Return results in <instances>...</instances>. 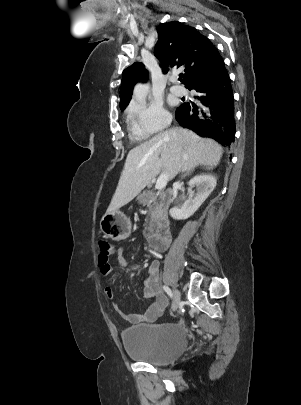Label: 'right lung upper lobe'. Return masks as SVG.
<instances>
[{"instance_id":"right-lung-upper-lobe-1","label":"right lung upper lobe","mask_w":301,"mask_h":405,"mask_svg":"<svg viewBox=\"0 0 301 405\" xmlns=\"http://www.w3.org/2000/svg\"><path fill=\"white\" fill-rule=\"evenodd\" d=\"M159 41L154 54L162 64L163 73L172 68H183V84H191L212 75L223 59L210 40L194 27L178 21L164 23L158 29ZM144 64L135 62L122 73L120 109L128 105L137 81L147 77Z\"/></svg>"}]
</instances>
